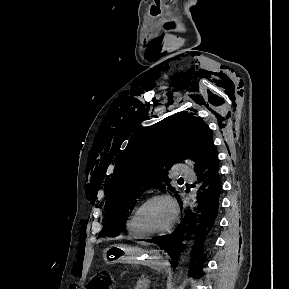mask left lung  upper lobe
I'll return each instance as SVG.
<instances>
[{"label": "left lung upper lobe", "instance_id": "5c2ea615", "mask_svg": "<svg viewBox=\"0 0 289 289\" xmlns=\"http://www.w3.org/2000/svg\"><path fill=\"white\" fill-rule=\"evenodd\" d=\"M215 148L211 130L194 113L175 114L133 136L107 182L106 219L98 237L118 236L147 189H168L178 198L168 178L170 167L191 159L196 170Z\"/></svg>", "mask_w": 289, "mask_h": 289}]
</instances>
